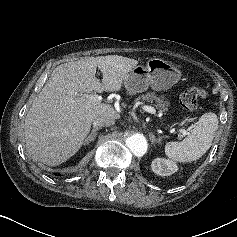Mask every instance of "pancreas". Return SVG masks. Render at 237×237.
<instances>
[{"label": "pancreas", "instance_id": "cf45deb5", "mask_svg": "<svg viewBox=\"0 0 237 237\" xmlns=\"http://www.w3.org/2000/svg\"><path fill=\"white\" fill-rule=\"evenodd\" d=\"M140 100L150 102L151 104L155 103L154 106L161 113H165L168 110L169 102L163 96H157L154 92L136 98V101Z\"/></svg>", "mask_w": 237, "mask_h": 237}]
</instances>
